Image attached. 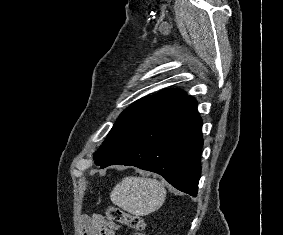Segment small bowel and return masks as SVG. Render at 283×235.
<instances>
[{"instance_id": "obj_1", "label": "small bowel", "mask_w": 283, "mask_h": 235, "mask_svg": "<svg viewBox=\"0 0 283 235\" xmlns=\"http://www.w3.org/2000/svg\"><path fill=\"white\" fill-rule=\"evenodd\" d=\"M86 235H116L119 225L105 218L100 214H95L89 219H84Z\"/></svg>"}]
</instances>
